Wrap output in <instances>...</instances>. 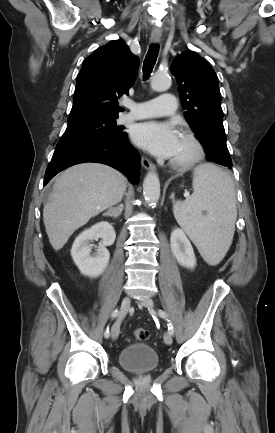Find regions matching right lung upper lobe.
I'll list each match as a JSON object with an SVG mask.
<instances>
[{
	"instance_id": "cb5924a9",
	"label": "right lung upper lobe",
	"mask_w": 275,
	"mask_h": 433,
	"mask_svg": "<svg viewBox=\"0 0 275 433\" xmlns=\"http://www.w3.org/2000/svg\"><path fill=\"white\" fill-rule=\"evenodd\" d=\"M139 59L122 40L110 41L88 56L76 79L69 118L85 115L118 116V98L134 83Z\"/></svg>"
}]
</instances>
